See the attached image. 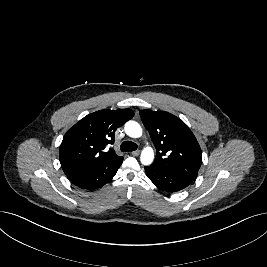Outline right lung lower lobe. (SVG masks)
Wrapping results in <instances>:
<instances>
[{
	"mask_svg": "<svg viewBox=\"0 0 267 267\" xmlns=\"http://www.w3.org/2000/svg\"><path fill=\"white\" fill-rule=\"evenodd\" d=\"M123 157L85 168L67 175L69 180L83 189H97L108 183L116 174Z\"/></svg>",
	"mask_w": 267,
	"mask_h": 267,
	"instance_id": "98d812e1",
	"label": "right lung lower lobe"
}]
</instances>
